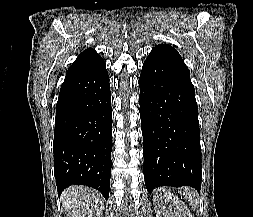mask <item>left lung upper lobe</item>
<instances>
[{
  "label": "left lung upper lobe",
  "instance_id": "left-lung-upper-lobe-1",
  "mask_svg": "<svg viewBox=\"0 0 253 217\" xmlns=\"http://www.w3.org/2000/svg\"><path fill=\"white\" fill-rule=\"evenodd\" d=\"M151 53H154L156 55L162 56L164 59L168 60L175 66L179 67L183 71L190 74L187 66L185 65L184 61L182 60L180 54L170 45L167 44H159L156 45Z\"/></svg>",
  "mask_w": 253,
  "mask_h": 217
}]
</instances>
